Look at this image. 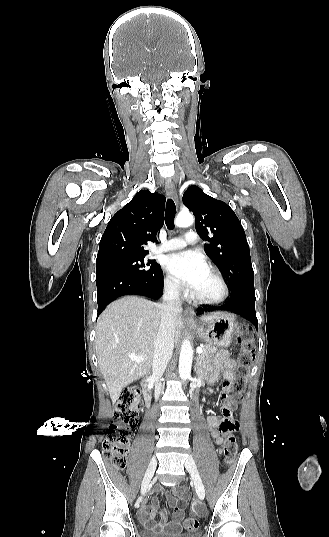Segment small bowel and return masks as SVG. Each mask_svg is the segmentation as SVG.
Masks as SVG:
<instances>
[{
	"label": "small bowel",
	"mask_w": 329,
	"mask_h": 537,
	"mask_svg": "<svg viewBox=\"0 0 329 537\" xmlns=\"http://www.w3.org/2000/svg\"><path fill=\"white\" fill-rule=\"evenodd\" d=\"M236 368L237 363L235 360L231 359L226 352H222L216 356L210 365L208 381L213 383L221 377L225 381L221 389L227 392L230 389L231 383L234 381ZM207 424L212 438L217 444L221 445L223 438L220 434L221 423L219 419L210 415L207 417ZM219 454H222L221 449H219ZM173 492V494L166 495L169 504L174 507L171 520L166 511L157 512L159 506L158 498L155 497L150 503L145 502L143 504L140 518L146 528L155 532L179 533L182 527L185 526L182 524V520L184 518L187 490L184 487H175ZM158 514L160 517L159 521L156 520Z\"/></svg>",
	"instance_id": "small-bowel-1"
}]
</instances>
